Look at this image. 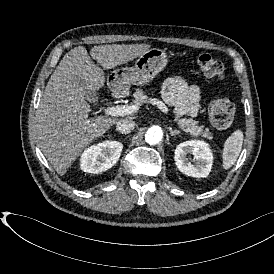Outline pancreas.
<instances>
[{"label":"pancreas","mask_w":274,"mask_h":274,"mask_svg":"<svg viewBox=\"0 0 274 274\" xmlns=\"http://www.w3.org/2000/svg\"><path fill=\"white\" fill-rule=\"evenodd\" d=\"M135 104H140L143 102L152 101L150 96L146 94V92L137 90L134 93ZM174 122L177 123V126L185 133L193 136L198 137L202 136L207 139H212V136L209 133L208 128H203L199 126L197 121L193 120L190 117H181L180 115H175Z\"/></svg>","instance_id":"1"}]
</instances>
